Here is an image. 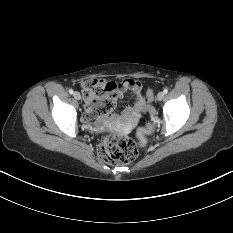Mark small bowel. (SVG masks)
<instances>
[{
    "instance_id": "obj_1",
    "label": "small bowel",
    "mask_w": 233,
    "mask_h": 233,
    "mask_svg": "<svg viewBox=\"0 0 233 233\" xmlns=\"http://www.w3.org/2000/svg\"><path fill=\"white\" fill-rule=\"evenodd\" d=\"M127 91L132 92L133 104L128 105L123 110V114L128 118L134 119L145 110L147 99L142 94V85L139 81L126 79L120 83H116L115 100L121 99ZM98 105V100H86L85 119L87 122L94 124L95 127H99L101 123H106L113 116L111 113L105 116H96L94 110Z\"/></svg>"
}]
</instances>
